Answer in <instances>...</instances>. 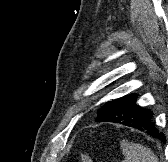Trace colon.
<instances>
[{"label": "colon", "instance_id": "5ec220e1", "mask_svg": "<svg viewBox=\"0 0 168 162\" xmlns=\"http://www.w3.org/2000/svg\"><path fill=\"white\" fill-rule=\"evenodd\" d=\"M80 162H93L91 157L86 155V154H82L80 156Z\"/></svg>", "mask_w": 168, "mask_h": 162}]
</instances>
